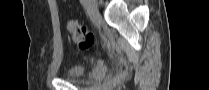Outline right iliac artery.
Returning <instances> with one entry per match:
<instances>
[{
  "label": "right iliac artery",
  "instance_id": "right-iliac-artery-1",
  "mask_svg": "<svg viewBox=\"0 0 209 90\" xmlns=\"http://www.w3.org/2000/svg\"><path fill=\"white\" fill-rule=\"evenodd\" d=\"M83 5H87V0L82 1Z\"/></svg>",
  "mask_w": 209,
  "mask_h": 90
}]
</instances>
